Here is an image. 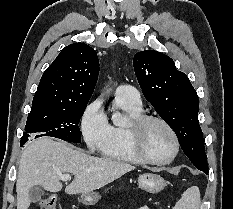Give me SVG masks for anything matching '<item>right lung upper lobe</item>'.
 Segmentation results:
<instances>
[{
  "label": "right lung upper lobe",
  "instance_id": "obj_1",
  "mask_svg": "<svg viewBox=\"0 0 233 209\" xmlns=\"http://www.w3.org/2000/svg\"><path fill=\"white\" fill-rule=\"evenodd\" d=\"M98 75L96 51L84 43L70 44L44 71L32 108L67 109L88 104Z\"/></svg>",
  "mask_w": 233,
  "mask_h": 209
}]
</instances>
